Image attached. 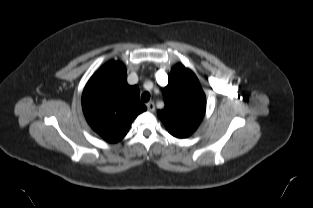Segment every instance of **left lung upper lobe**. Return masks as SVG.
<instances>
[{
  "mask_svg": "<svg viewBox=\"0 0 313 208\" xmlns=\"http://www.w3.org/2000/svg\"><path fill=\"white\" fill-rule=\"evenodd\" d=\"M165 107L157 112L168 132L187 138L196 131L205 114L206 97L195 74L177 64L163 90Z\"/></svg>",
  "mask_w": 313,
  "mask_h": 208,
  "instance_id": "5c2ea615",
  "label": "left lung upper lobe"
}]
</instances>
